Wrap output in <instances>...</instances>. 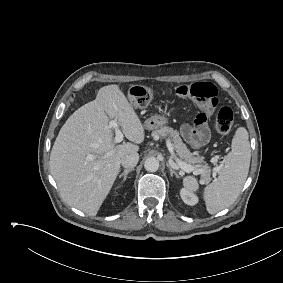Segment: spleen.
Here are the masks:
<instances>
[{
  "label": "spleen",
  "mask_w": 283,
  "mask_h": 283,
  "mask_svg": "<svg viewBox=\"0 0 283 283\" xmlns=\"http://www.w3.org/2000/svg\"><path fill=\"white\" fill-rule=\"evenodd\" d=\"M251 160L250 142L245 128L237 129L231 151L224 157L219 176L204 189V200L208 213L215 214L234 203L246 181ZM183 186L190 191L198 189L193 176L183 179Z\"/></svg>",
  "instance_id": "spleen-1"
}]
</instances>
